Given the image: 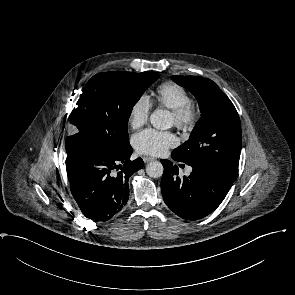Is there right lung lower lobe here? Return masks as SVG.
<instances>
[{
    "instance_id": "obj_1",
    "label": "right lung lower lobe",
    "mask_w": 295,
    "mask_h": 295,
    "mask_svg": "<svg viewBox=\"0 0 295 295\" xmlns=\"http://www.w3.org/2000/svg\"><path fill=\"white\" fill-rule=\"evenodd\" d=\"M131 154L129 145L123 152L86 147L68 155L66 171L71 193L87 218L107 221L126 204L128 179L144 166L141 158L131 161Z\"/></svg>"
}]
</instances>
